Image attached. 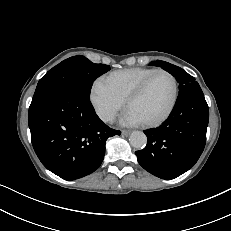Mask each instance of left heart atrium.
Segmentation results:
<instances>
[{
    "label": "left heart atrium",
    "mask_w": 231,
    "mask_h": 231,
    "mask_svg": "<svg viewBox=\"0 0 231 231\" xmlns=\"http://www.w3.org/2000/svg\"><path fill=\"white\" fill-rule=\"evenodd\" d=\"M121 122L122 124L127 126H135V125H139L141 123V120L137 116H135L132 112L127 110Z\"/></svg>",
    "instance_id": "left-heart-atrium-1"
}]
</instances>
